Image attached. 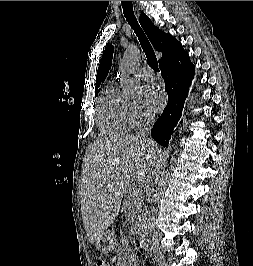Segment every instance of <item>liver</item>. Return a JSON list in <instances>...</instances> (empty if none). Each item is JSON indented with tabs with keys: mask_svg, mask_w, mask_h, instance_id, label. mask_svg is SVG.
<instances>
[{
	"mask_svg": "<svg viewBox=\"0 0 253 266\" xmlns=\"http://www.w3.org/2000/svg\"><path fill=\"white\" fill-rule=\"evenodd\" d=\"M160 149L139 135L91 143L83 160L82 217L94 244L117 217L125 192L150 171Z\"/></svg>",
	"mask_w": 253,
	"mask_h": 266,
	"instance_id": "obj_1",
	"label": "liver"
}]
</instances>
